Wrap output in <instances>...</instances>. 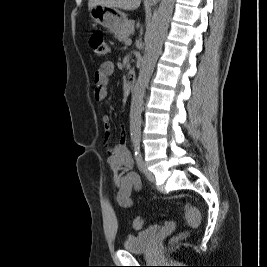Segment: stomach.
Returning <instances> with one entry per match:
<instances>
[{
  "label": "stomach",
  "mask_w": 267,
  "mask_h": 267,
  "mask_svg": "<svg viewBox=\"0 0 267 267\" xmlns=\"http://www.w3.org/2000/svg\"><path fill=\"white\" fill-rule=\"evenodd\" d=\"M90 16L95 23L115 34L121 30L127 21L126 15L118 9L102 5L93 6L90 9Z\"/></svg>",
  "instance_id": "1"
}]
</instances>
